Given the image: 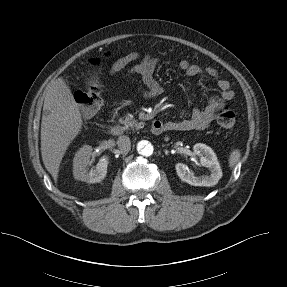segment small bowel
Returning <instances> with one entry per match:
<instances>
[{"instance_id":"1","label":"small bowel","mask_w":287,"mask_h":287,"mask_svg":"<svg viewBox=\"0 0 287 287\" xmlns=\"http://www.w3.org/2000/svg\"><path fill=\"white\" fill-rule=\"evenodd\" d=\"M159 62V58L150 53L141 55L138 52H130L113 63L110 74L114 75L132 65L129 74L138 75L142 79L145 86L141 91L142 95L145 98H155L163 92L162 86L154 78V72ZM178 66L187 76L208 75L215 79L218 94L211 96L203 108H195L188 118L165 122V129L174 131L204 129L213 121L217 109L233 99L234 93L230 88V83L221 78L217 70L212 67L202 68L200 65L192 64L185 59L180 60Z\"/></svg>"}]
</instances>
